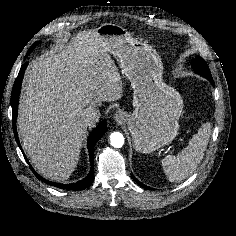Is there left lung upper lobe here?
Segmentation results:
<instances>
[{
    "instance_id": "obj_1",
    "label": "left lung upper lobe",
    "mask_w": 236,
    "mask_h": 236,
    "mask_svg": "<svg viewBox=\"0 0 236 236\" xmlns=\"http://www.w3.org/2000/svg\"><path fill=\"white\" fill-rule=\"evenodd\" d=\"M194 71L203 77H212L207 63L201 57H197L192 62Z\"/></svg>"
}]
</instances>
